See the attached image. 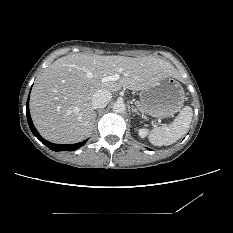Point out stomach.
Masks as SVG:
<instances>
[{"label": "stomach", "mask_w": 233, "mask_h": 233, "mask_svg": "<svg viewBox=\"0 0 233 233\" xmlns=\"http://www.w3.org/2000/svg\"><path fill=\"white\" fill-rule=\"evenodd\" d=\"M185 101L181 84L173 77H168L150 88L142 90L140 106L150 116L167 118L180 110Z\"/></svg>", "instance_id": "0dacf381"}]
</instances>
